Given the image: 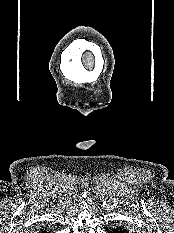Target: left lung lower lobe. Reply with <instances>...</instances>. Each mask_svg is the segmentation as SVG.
Wrapping results in <instances>:
<instances>
[{
  "mask_svg": "<svg viewBox=\"0 0 174 233\" xmlns=\"http://www.w3.org/2000/svg\"><path fill=\"white\" fill-rule=\"evenodd\" d=\"M109 233H128V231L124 227H117L112 229Z\"/></svg>",
  "mask_w": 174,
  "mask_h": 233,
  "instance_id": "0a47b994",
  "label": "left lung lower lobe"
}]
</instances>
